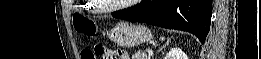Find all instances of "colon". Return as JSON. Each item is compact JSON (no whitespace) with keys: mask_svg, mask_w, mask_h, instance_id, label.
Segmentation results:
<instances>
[{"mask_svg":"<svg viewBox=\"0 0 261 59\" xmlns=\"http://www.w3.org/2000/svg\"><path fill=\"white\" fill-rule=\"evenodd\" d=\"M73 26L78 33L89 38L94 37L97 31L96 22L93 19L82 15H76L74 17ZM120 54L121 53H118L117 51L110 50L103 44L97 43L93 50H83L81 56L83 59H116Z\"/></svg>","mask_w":261,"mask_h":59,"instance_id":"1","label":"colon"}]
</instances>
